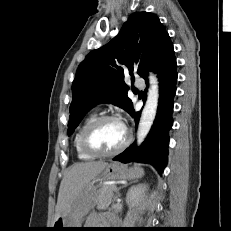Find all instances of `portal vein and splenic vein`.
Here are the masks:
<instances>
[{"label":"portal vein and splenic vein","instance_id":"18ae733b","mask_svg":"<svg viewBox=\"0 0 231 231\" xmlns=\"http://www.w3.org/2000/svg\"><path fill=\"white\" fill-rule=\"evenodd\" d=\"M113 190H117L116 186L113 187Z\"/></svg>","mask_w":231,"mask_h":231}]
</instances>
